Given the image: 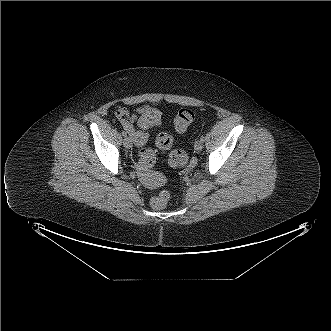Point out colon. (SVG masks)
<instances>
[{
    "label": "colon",
    "instance_id": "colon-1",
    "mask_svg": "<svg viewBox=\"0 0 331 331\" xmlns=\"http://www.w3.org/2000/svg\"><path fill=\"white\" fill-rule=\"evenodd\" d=\"M194 120V113L190 109H180L174 116V127L178 131L186 130ZM161 122V114L155 108H149L140 114L141 133L146 134V130L158 126ZM173 138L168 133H160L156 138V145L160 151L169 154L170 165L177 170L184 169L188 164L187 154L179 149L173 148ZM170 194L162 191L152 197L151 206L155 209H162L169 203Z\"/></svg>",
    "mask_w": 331,
    "mask_h": 331
}]
</instances>
